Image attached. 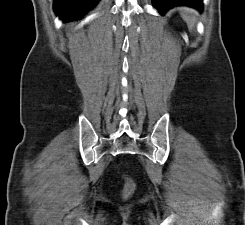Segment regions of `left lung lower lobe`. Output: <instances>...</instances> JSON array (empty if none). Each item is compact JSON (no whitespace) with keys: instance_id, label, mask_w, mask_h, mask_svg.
Instances as JSON below:
<instances>
[{"instance_id":"1","label":"left lung lower lobe","mask_w":245,"mask_h":225,"mask_svg":"<svg viewBox=\"0 0 245 225\" xmlns=\"http://www.w3.org/2000/svg\"><path fill=\"white\" fill-rule=\"evenodd\" d=\"M159 13L163 14L168 9L176 5H186L202 11V0H152Z\"/></svg>"}]
</instances>
